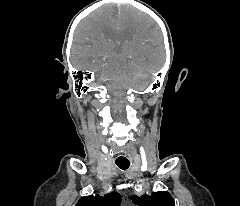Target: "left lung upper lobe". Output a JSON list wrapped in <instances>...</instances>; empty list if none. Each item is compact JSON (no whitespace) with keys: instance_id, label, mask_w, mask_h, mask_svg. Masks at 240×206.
<instances>
[{"instance_id":"left-lung-upper-lobe-1","label":"left lung upper lobe","mask_w":240,"mask_h":206,"mask_svg":"<svg viewBox=\"0 0 240 206\" xmlns=\"http://www.w3.org/2000/svg\"><path fill=\"white\" fill-rule=\"evenodd\" d=\"M133 203L139 206H175L172 196L166 191L154 193L152 196L132 197Z\"/></svg>"}]
</instances>
